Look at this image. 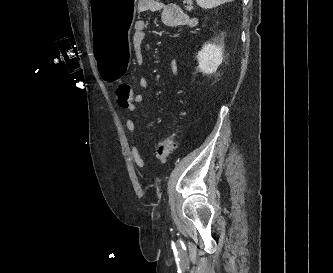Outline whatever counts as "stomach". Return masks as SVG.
<instances>
[{
    "mask_svg": "<svg viewBox=\"0 0 333 273\" xmlns=\"http://www.w3.org/2000/svg\"><path fill=\"white\" fill-rule=\"evenodd\" d=\"M136 0H92V14L95 44H91L96 56L99 81H122L128 75L131 65L129 32L135 23Z\"/></svg>",
    "mask_w": 333,
    "mask_h": 273,
    "instance_id": "stomach-1",
    "label": "stomach"
}]
</instances>
